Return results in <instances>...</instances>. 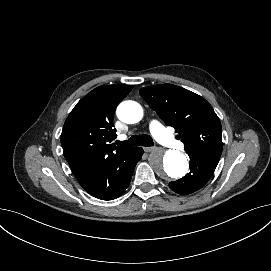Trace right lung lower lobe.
Returning a JSON list of instances; mask_svg holds the SVG:
<instances>
[{"instance_id": "right-lung-lower-lobe-1", "label": "right lung lower lobe", "mask_w": 271, "mask_h": 271, "mask_svg": "<svg viewBox=\"0 0 271 271\" xmlns=\"http://www.w3.org/2000/svg\"><path fill=\"white\" fill-rule=\"evenodd\" d=\"M144 151L140 147L131 148L126 153L107 162L89 179L80 183L90 195L101 200H113L123 194L128 187L137 162Z\"/></svg>"}]
</instances>
